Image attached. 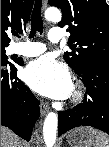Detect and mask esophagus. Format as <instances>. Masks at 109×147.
I'll list each match as a JSON object with an SVG mask.
<instances>
[{"instance_id":"34e87169","label":"esophagus","mask_w":109,"mask_h":147,"mask_svg":"<svg viewBox=\"0 0 109 147\" xmlns=\"http://www.w3.org/2000/svg\"><path fill=\"white\" fill-rule=\"evenodd\" d=\"M47 5V1L46 0H43L42 1V7L43 9L46 7ZM49 110V107L46 103H44L43 101L40 102V112H41V115L44 116L46 115V113L48 112Z\"/></svg>"}]
</instances>
